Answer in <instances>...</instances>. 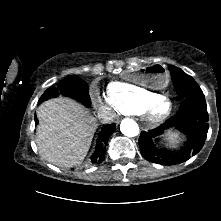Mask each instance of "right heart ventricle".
<instances>
[{
	"instance_id": "right-heart-ventricle-1",
	"label": "right heart ventricle",
	"mask_w": 221,
	"mask_h": 221,
	"mask_svg": "<svg viewBox=\"0 0 221 221\" xmlns=\"http://www.w3.org/2000/svg\"><path fill=\"white\" fill-rule=\"evenodd\" d=\"M107 92L116 111L126 115L141 114L144 106L158 95L139 85L122 81L111 82Z\"/></svg>"
}]
</instances>
